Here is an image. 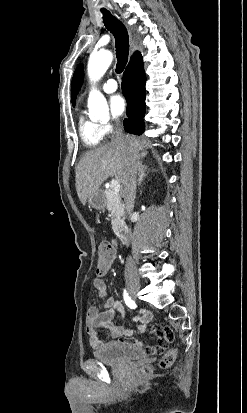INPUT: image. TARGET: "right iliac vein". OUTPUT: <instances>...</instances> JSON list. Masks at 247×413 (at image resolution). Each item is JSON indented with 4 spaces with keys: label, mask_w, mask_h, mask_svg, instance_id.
I'll return each mask as SVG.
<instances>
[{
    "label": "right iliac vein",
    "mask_w": 247,
    "mask_h": 413,
    "mask_svg": "<svg viewBox=\"0 0 247 413\" xmlns=\"http://www.w3.org/2000/svg\"><path fill=\"white\" fill-rule=\"evenodd\" d=\"M138 291H139V285L137 284H133L129 287V293L132 297H136Z\"/></svg>",
    "instance_id": "obj_1"
}]
</instances>
